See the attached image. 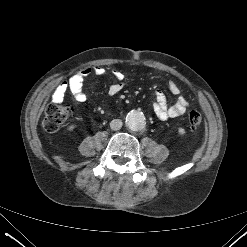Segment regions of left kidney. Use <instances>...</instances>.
I'll return each mask as SVG.
<instances>
[{
	"label": "left kidney",
	"instance_id": "1",
	"mask_svg": "<svg viewBox=\"0 0 247 247\" xmlns=\"http://www.w3.org/2000/svg\"><path fill=\"white\" fill-rule=\"evenodd\" d=\"M178 133L180 135H184L185 134V130L183 128H178Z\"/></svg>",
	"mask_w": 247,
	"mask_h": 247
}]
</instances>
